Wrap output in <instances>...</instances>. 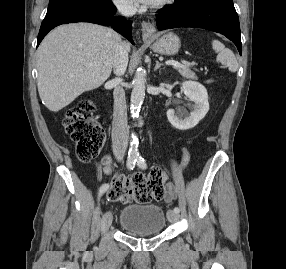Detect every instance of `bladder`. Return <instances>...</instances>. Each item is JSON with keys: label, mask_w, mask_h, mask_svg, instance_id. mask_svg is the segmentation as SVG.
I'll list each match as a JSON object with an SVG mask.
<instances>
[{"label": "bladder", "mask_w": 286, "mask_h": 269, "mask_svg": "<svg viewBox=\"0 0 286 269\" xmlns=\"http://www.w3.org/2000/svg\"><path fill=\"white\" fill-rule=\"evenodd\" d=\"M166 218L160 206L132 203L122 208L119 226L130 233L158 234L165 230Z\"/></svg>", "instance_id": "obj_1"}]
</instances>
